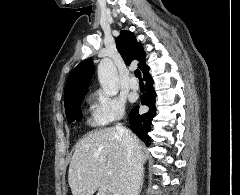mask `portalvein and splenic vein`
Returning <instances> with one entry per match:
<instances>
[{
	"label": "portal vein and splenic vein",
	"mask_w": 240,
	"mask_h": 195,
	"mask_svg": "<svg viewBox=\"0 0 240 195\" xmlns=\"http://www.w3.org/2000/svg\"><path fill=\"white\" fill-rule=\"evenodd\" d=\"M113 195H120V193H113Z\"/></svg>",
	"instance_id": "portal-vein-and-splenic-vein-1"
}]
</instances>
